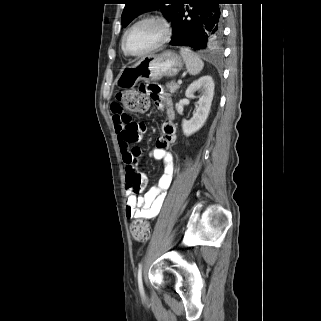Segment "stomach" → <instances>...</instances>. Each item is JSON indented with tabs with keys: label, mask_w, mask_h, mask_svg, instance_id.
Masks as SVG:
<instances>
[{
	"label": "stomach",
	"mask_w": 321,
	"mask_h": 321,
	"mask_svg": "<svg viewBox=\"0 0 321 321\" xmlns=\"http://www.w3.org/2000/svg\"><path fill=\"white\" fill-rule=\"evenodd\" d=\"M184 61L176 52L167 50L158 55H148L134 65L123 69L116 84L120 87H134L141 80H160L162 77H174L183 68Z\"/></svg>",
	"instance_id": "1"
}]
</instances>
